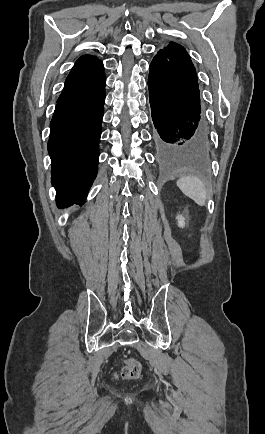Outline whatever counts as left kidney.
Wrapping results in <instances>:
<instances>
[{
    "mask_svg": "<svg viewBox=\"0 0 265 434\" xmlns=\"http://www.w3.org/2000/svg\"><path fill=\"white\" fill-rule=\"evenodd\" d=\"M176 220H178L179 228H184L185 226L184 218H182V216H177Z\"/></svg>",
    "mask_w": 265,
    "mask_h": 434,
    "instance_id": "5707ae66",
    "label": "left kidney"
}]
</instances>
